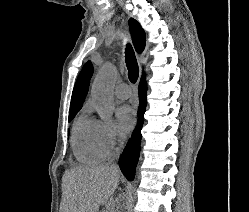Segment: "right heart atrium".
Listing matches in <instances>:
<instances>
[{
    "instance_id": "right-heart-atrium-1",
    "label": "right heart atrium",
    "mask_w": 249,
    "mask_h": 212,
    "mask_svg": "<svg viewBox=\"0 0 249 212\" xmlns=\"http://www.w3.org/2000/svg\"><path fill=\"white\" fill-rule=\"evenodd\" d=\"M97 144L101 153L102 160L111 159L118 149V138L114 130L106 123L97 122Z\"/></svg>"
}]
</instances>
